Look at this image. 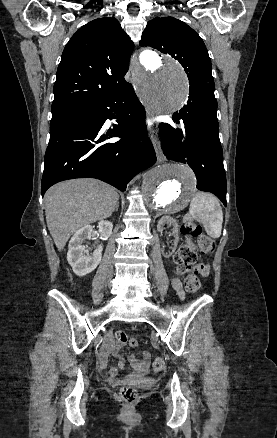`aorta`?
Wrapping results in <instances>:
<instances>
[{
	"label": "aorta",
	"instance_id": "aorta-1",
	"mask_svg": "<svg viewBox=\"0 0 277 438\" xmlns=\"http://www.w3.org/2000/svg\"><path fill=\"white\" fill-rule=\"evenodd\" d=\"M133 76L144 104L156 114H168L181 108L188 96L186 75L171 57L145 50ZM196 189L191 169L178 163H165L144 175L142 192L148 210L154 215L172 214L185 208Z\"/></svg>",
	"mask_w": 277,
	"mask_h": 438
}]
</instances>
